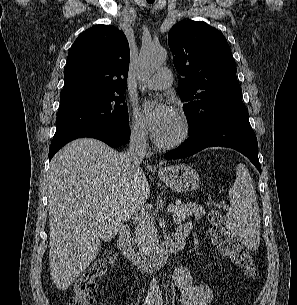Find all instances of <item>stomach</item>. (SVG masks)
<instances>
[{"label": "stomach", "instance_id": "1", "mask_svg": "<svg viewBox=\"0 0 297 305\" xmlns=\"http://www.w3.org/2000/svg\"><path fill=\"white\" fill-rule=\"evenodd\" d=\"M161 180L175 192H189L200 185L198 172L189 165L176 164L159 169Z\"/></svg>", "mask_w": 297, "mask_h": 305}]
</instances>
